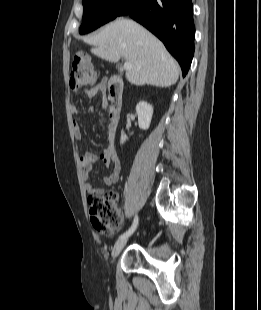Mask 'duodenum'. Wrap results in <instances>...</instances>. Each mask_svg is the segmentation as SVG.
I'll return each mask as SVG.
<instances>
[{"label": "duodenum", "mask_w": 261, "mask_h": 310, "mask_svg": "<svg viewBox=\"0 0 261 310\" xmlns=\"http://www.w3.org/2000/svg\"><path fill=\"white\" fill-rule=\"evenodd\" d=\"M109 99L111 101L110 123L113 129H116L119 120L120 105L123 93V81L120 76L113 75L108 80Z\"/></svg>", "instance_id": "duodenum-1"}]
</instances>
